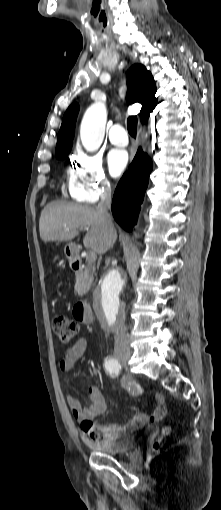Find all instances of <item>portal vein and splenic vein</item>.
Masks as SVG:
<instances>
[{
	"mask_svg": "<svg viewBox=\"0 0 221 510\" xmlns=\"http://www.w3.org/2000/svg\"><path fill=\"white\" fill-rule=\"evenodd\" d=\"M96 253L93 251H89L86 255V260L88 263H94L96 261Z\"/></svg>",
	"mask_w": 221,
	"mask_h": 510,
	"instance_id": "portal-vein-and-splenic-vein-1",
	"label": "portal vein and splenic vein"
}]
</instances>
